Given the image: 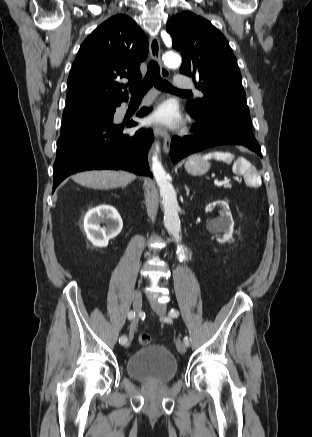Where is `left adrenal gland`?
<instances>
[{"mask_svg":"<svg viewBox=\"0 0 312 437\" xmlns=\"http://www.w3.org/2000/svg\"><path fill=\"white\" fill-rule=\"evenodd\" d=\"M185 190H186V194H187V196H189V188L187 187V186H185Z\"/></svg>","mask_w":312,"mask_h":437,"instance_id":"a2214340","label":"left adrenal gland"}]
</instances>
